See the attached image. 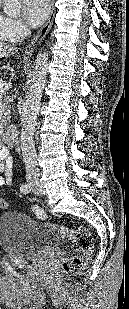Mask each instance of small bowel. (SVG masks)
<instances>
[{
	"label": "small bowel",
	"mask_w": 129,
	"mask_h": 309,
	"mask_svg": "<svg viewBox=\"0 0 129 309\" xmlns=\"http://www.w3.org/2000/svg\"><path fill=\"white\" fill-rule=\"evenodd\" d=\"M13 158L4 146H0V187L8 186L13 181Z\"/></svg>",
	"instance_id": "obj_1"
}]
</instances>
